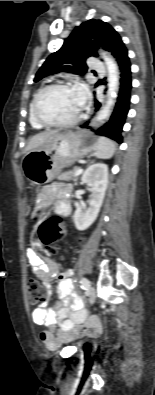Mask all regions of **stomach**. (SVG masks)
<instances>
[{"label":"stomach","instance_id":"1","mask_svg":"<svg viewBox=\"0 0 155 395\" xmlns=\"http://www.w3.org/2000/svg\"><path fill=\"white\" fill-rule=\"evenodd\" d=\"M97 143L98 138L83 130L58 133L49 143L26 153L23 173L33 185L46 184L77 158L95 151Z\"/></svg>","mask_w":155,"mask_h":395}]
</instances>
